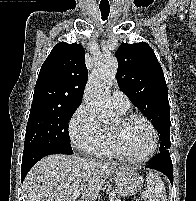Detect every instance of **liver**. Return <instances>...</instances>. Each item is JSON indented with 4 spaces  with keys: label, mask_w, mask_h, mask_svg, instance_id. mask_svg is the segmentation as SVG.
<instances>
[{
    "label": "liver",
    "mask_w": 196,
    "mask_h": 201,
    "mask_svg": "<svg viewBox=\"0 0 196 201\" xmlns=\"http://www.w3.org/2000/svg\"><path fill=\"white\" fill-rule=\"evenodd\" d=\"M132 170L115 163L53 154L42 158L27 174L24 201H95L104 182L117 172ZM80 192L77 198L73 195Z\"/></svg>",
    "instance_id": "liver-1"
}]
</instances>
